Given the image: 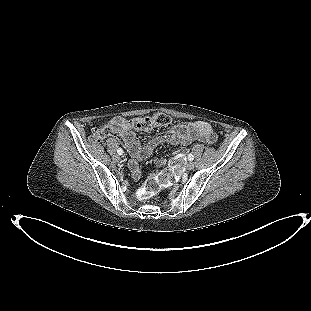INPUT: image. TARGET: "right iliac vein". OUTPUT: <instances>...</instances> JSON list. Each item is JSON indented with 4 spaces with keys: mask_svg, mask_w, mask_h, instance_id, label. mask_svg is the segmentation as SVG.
Returning a JSON list of instances; mask_svg holds the SVG:
<instances>
[{
    "mask_svg": "<svg viewBox=\"0 0 311 311\" xmlns=\"http://www.w3.org/2000/svg\"><path fill=\"white\" fill-rule=\"evenodd\" d=\"M113 160H114L115 162H119V161H120V158H119L118 156H114V157H113Z\"/></svg>",
    "mask_w": 311,
    "mask_h": 311,
    "instance_id": "obj_1",
    "label": "right iliac vein"
}]
</instances>
